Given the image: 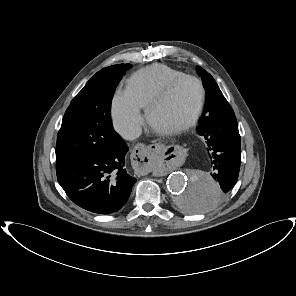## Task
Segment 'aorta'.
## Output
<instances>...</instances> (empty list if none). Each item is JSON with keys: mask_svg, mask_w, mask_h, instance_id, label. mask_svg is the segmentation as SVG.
Listing matches in <instances>:
<instances>
[{"mask_svg": "<svg viewBox=\"0 0 296 296\" xmlns=\"http://www.w3.org/2000/svg\"><path fill=\"white\" fill-rule=\"evenodd\" d=\"M219 185L207 173L183 168L167 180L173 204L185 213L203 214L214 208L219 198Z\"/></svg>", "mask_w": 296, "mask_h": 296, "instance_id": "aorta-1", "label": "aorta"}]
</instances>
